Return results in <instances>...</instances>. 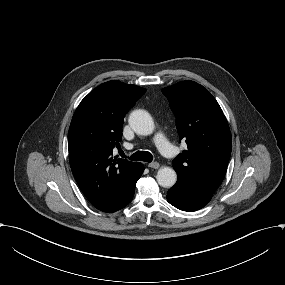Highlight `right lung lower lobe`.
<instances>
[{
    "mask_svg": "<svg viewBox=\"0 0 285 285\" xmlns=\"http://www.w3.org/2000/svg\"><path fill=\"white\" fill-rule=\"evenodd\" d=\"M144 171V166L142 165L138 171V173L131 179L127 189L125 190L122 199L118 202V204H116L112 209H110L107 212H115L118 211L122 208H124L126 205H128L134 195L135 192V185L137 180L140 178V176L142 175Z\"/></svg>",
    "mask_w": 285,
    "mask_h": 285,
    "instance_id": "obj_1",
    "label": "right lung lower lobe"
}]
</instances>
